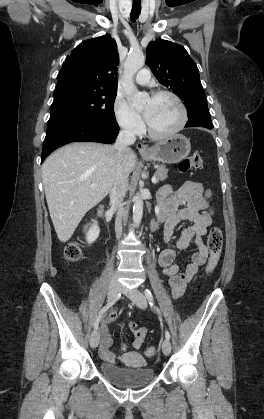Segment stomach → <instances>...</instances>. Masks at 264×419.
<instances>
[{
  "mask_svg": "<svg viewBox=\"0 0 264 419\" xmlns=\"http://www.w3.org/2000/svg\"><path fill=\"white\" fill-rule=\"evenodd\" d=\"M191 150L190 140L182 134H175L157 143L152 152L143 155L144 159L163 163H177L184 159Z\"/></svg>",
  "mask_w": 264,
  "mask_h": 419,
  "instance_id": "obj_1",
  "label": "stomach"
}]
</instances>
